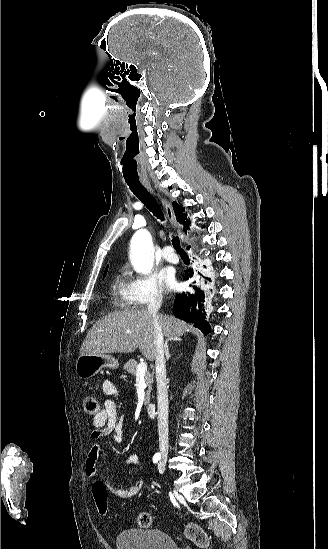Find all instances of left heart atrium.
<instances>
[{
	"label": "left heart atrium",
	"instance_id": "left-heart-atrium-1",
	"mask_svg": "<svg viewBox=\"0 0 328 549\" xmlns=\"http://www.w3.org/2000/svg\"><path fill=\"white\" fill-rule=\"evenodd\" d=\"M161 285L166 291H170L174 288V277L168 271H163V273L161 274Z\"/></svg>",
	"mask_w": 328,
	"mask_h": 549
}]
</instances>
